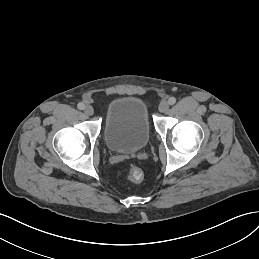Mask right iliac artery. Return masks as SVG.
Returning <instances> with one entry per match:
<instances>
[{
  "mask_svg": "<svg viewBox=\"0 0 259 259\" xmlns=\"http://www.w3.org/2000/svg\"><path fill=\"white\" fill-rule=\"evenodd\" d=\"M77 107L80 110H84L85 109V104L84 103H78Z\"/></svg>",
  "mask_w": 259,
  "mask_h": 259,
  "instance_id": "obj_1",
  "label": "right iliac artery"
}]
</instances>
